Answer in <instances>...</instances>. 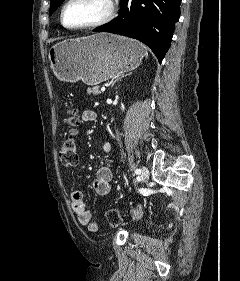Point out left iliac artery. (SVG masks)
<instances>
[{
	"label": "left iliac artery",
	"mask_w": 240,
	"mask_h": 281,
	"mask_svg": "<svg viewBox=\"0 0 240 281\" xmlns=\"http://www.w3.org/2000/svg\"><path fill=\"white\" fill-rule=\"evenodd\" d=\"M135 173H136V174H141V170H140V169H136V170H135Z\"/></svg>",
	"instance_id": "1"
}]
</instances>
